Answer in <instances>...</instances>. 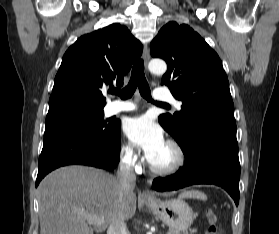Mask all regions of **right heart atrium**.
I'll return each mask as SVG.
<instances>
[{
  "label": "right heart atrium",
  "mask_w": 279,
  "mask_h": 234,
  "mask_svg": "<svg viewBox=\"0 0 279 234\" xmlns=\"http://www.w3.org/2000/svg\"><path fill=\"white\" fill-rule=\"evenodd\" d=\"M119 159L125 166L135 169L140 164V157L135 147L129 143H123L119 149Z\"/></svg>",
  "instance_id": "obj_1"
}]
</instances>
